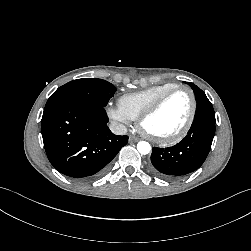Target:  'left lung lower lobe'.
<instances>
[{
  "label": "left lung lower lobe",
  "instance_id": "obj_1",
  "mask_svg": "<svg viewBox=\"0 0 251 251\" xmlns=\"http://www.w3.org/2000/svg\"><path fill=\"white\" fill-rule=\"evenodd\" d=\"M215 116L200 115L187 136L168 148L153 147L150 168L161 178L173 180L198 169L205 161L215 134Z\"/></svg>",
  "mask_w": 251,
  "mask_h": 251
}]
</instances>
